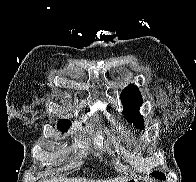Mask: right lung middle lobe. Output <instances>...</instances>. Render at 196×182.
Here are the masks:
<instances>
[{
	"label": "right lung middle lobe",
	"mask_w": 196,
	"mask_h": 182,
	"mask_svg": "<svg viewBox=\"0 0 196 182\" xmlns=\"http://www.w3.org/2000/svg\"><path fill=\"white\" fill-rule=\"evenodd\" d=\"M69 124L70 122L68 120H61L59 123H58V126L61 130H67L68 127H69Z\"/></svg>",
	"instance_id": "1"
}]
</instances>
